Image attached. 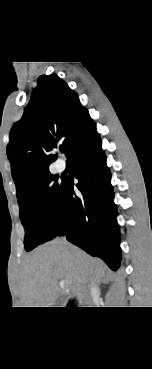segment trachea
Returning <instances> with one entry per match:
<instances>
[{
    "mask_svg": "<svg viewBox=\"0 0 152 369\" xmlns=\"http://www.w3.org/2000/svg\"><path fill=\"white\" fill-rule=\"evenodd\" d=\"M60 151L63 153L64 152V148H60Z\"/></svg>",
    "mask_w": 152,
    "mask_h": 369,
    "instance_id": "3493384b",
    "label": "trachea"
}]
</instances>
